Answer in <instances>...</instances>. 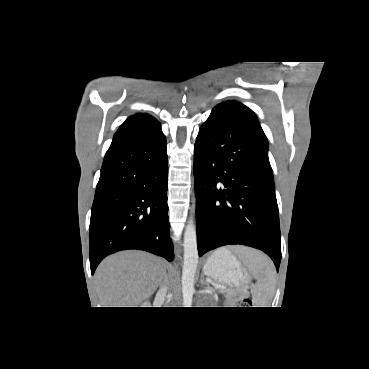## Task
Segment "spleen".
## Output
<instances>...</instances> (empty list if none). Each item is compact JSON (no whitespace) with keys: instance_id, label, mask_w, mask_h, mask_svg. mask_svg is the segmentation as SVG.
<instances>
[{"instance_id":"1","label":"spleen","mask_w":369,"mask_h":369,"mask_svg":"<svg viewBox=\"0 0 369 369\" xmlns=\"http://www.w3.org/2000/svg\"><path fill=\"white\" fill-rule=\"evenodd\" d=\"M240 256L257 278L253 293L254 305L268 307L275 289L276 270L273 263L267 256L253 249L243 248Z\"/></svg>"}]
</instances>
